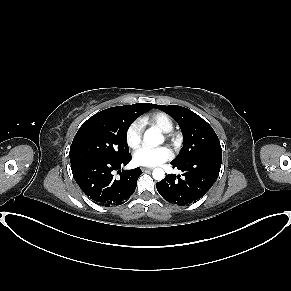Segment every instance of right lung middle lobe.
<instances>
[{
    "label": "right lung middle lobe",
    "mask_w": 291,
    "mask_h": 291,
    "mask_svg": "<svg viewBox=\"0 0 291 291\" xmlns=\"http://www.w3.org/2000/svg\"><path fill=\"white\" fill-rule=\"evenodd\" d=\"M141 105L112 107L90 117L73 139L70 162L92 158L119 159L129 155L126 139L129 126L138 116L153 108Z\"/></svg>",
    "instance_id": "right-lung-middle-lobe-1"
}]
</instances>
